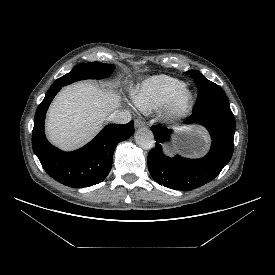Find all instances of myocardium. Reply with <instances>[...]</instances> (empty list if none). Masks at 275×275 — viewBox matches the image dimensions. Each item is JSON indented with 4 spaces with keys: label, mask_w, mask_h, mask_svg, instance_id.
Masks as SVG:
<instances>
[{
    "label": "myocardium",
    "mask_w": 275,
    "mask_h": 275,
    "mask_svg": "<svg viewBox=\"0 0 275 275\" xmlns=\"http://www.w3.org/2000/svg\"><path fill=\"white\" fill-rule=\"evenodd\" d=\"M193 104L194 95L184 86L162 106L161 118L168 124L179 123L190 114Z\"/></svg>",
    "instance_id": "f54148a6"
}]
</instances>
